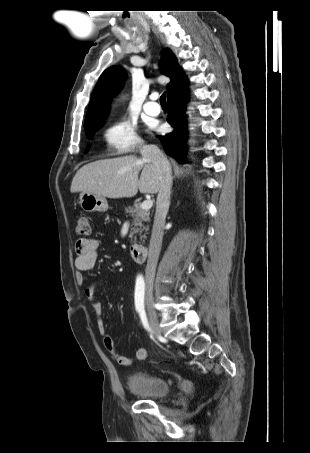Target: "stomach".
I'll use <instances>...</instances> for the list:
<instances>
[{"instance_id":"1","label":"stomach","mask_w":310,"mask_h":453,"mask_svg":"<svg viewBox=\"0 0 310 453\" xmlns=\"http://www.w3.org/2000/svg\"><path fill=\"white\" fill-rule=\"evenodd\" d=\"M79 200V204L85 212H105L108 210V202L105 197L81 193Z\"/></svg>"}]
</instances>
